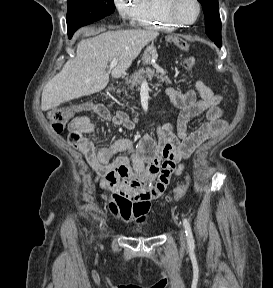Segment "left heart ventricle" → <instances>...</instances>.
I'll use <instances>...</instances> for the list:
<instances>
[{
    "label": "left heart ventricle",
    "mask_w": 273,
    "mask_h": 288,
    "mask_svg": "<svg viewBox=\"0 0 273 288\" xmlns=\"http://www.w3.org/2000/svg\"><path fill=\"white\" fill-rule=\"evenodd\" d=\"M176 13L182 20L192 21L197 14V8L193 0H178Z\"/></svg>",
    "instance_id": "b2bd125f"
}]
</instances>
